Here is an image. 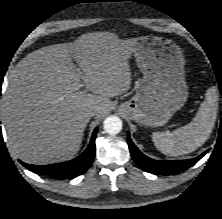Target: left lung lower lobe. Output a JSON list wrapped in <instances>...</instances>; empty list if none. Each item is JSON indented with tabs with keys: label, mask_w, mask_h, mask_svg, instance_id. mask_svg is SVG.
<instances>
[{
	"label": "left lung lower lobe",
	"mask_w": 222,
	"mask_h": 219,
	"mask_svg": "<svg viewBox=\"0 0 222 219\" xmlns=\"http://www.w3.org/2000/svg\"><path fill=\"white\" fill-rule=\"evenodd\" d=\"M128 146L131 156L136 164L143 170L160 175L165 173H178L180 171L187 170L198 162L206 152L202 153L196 158L189 160H154L139 151V149L132 142L130 135L128 134Z\"/></svg>",
	"instance_id": "1"
}]
</instances>
